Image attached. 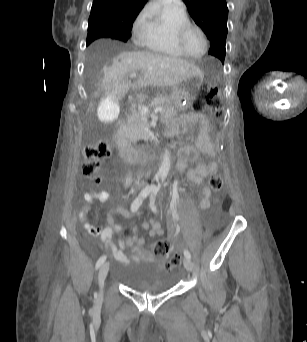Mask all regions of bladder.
Segmentation results:
<instances>
[{"label": "bladder", "instance_id": "bladder-1", "mask_svg": "<svg viewBox=\"0 0 307 342\" xmlns=\"http://www.w3.org/2000/svg\"><path fill=\"white\" fill-rule=\"evenodd\" d=\"M122 280L128 288L147 294L166 292L175 285V279L167 271L138 262L127 265Z\"/></svg>", "mask_w": 307, "mask_h": 342}]
</instances>
